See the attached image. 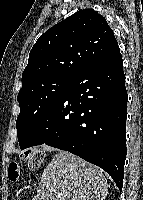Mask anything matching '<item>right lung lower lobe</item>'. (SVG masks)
Here are the masks:
<instances>
[{
	"instance_id": "98d812e1",
	"label": "right lung lower lobe",
	"mask_w": 143,
	"mask_h": 200,
	"mask_svg": "<svg viewBox=\"0 0 143 200\" xmlns=\"http://www.w3.org/2000/svg\"><path fill=\"white\" fill-rule=\"evenodd\" d=\"M128 95L119 47L84 68L40 120L25 148L46 144L104 169L122 190Z\"/></svg>"
}]
</instances>
